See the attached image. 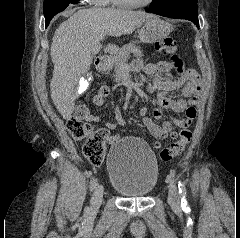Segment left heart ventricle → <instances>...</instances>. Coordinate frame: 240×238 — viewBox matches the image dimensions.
Here are the masks:
<instances>
[{"label":"left heart ventricle","instance_id":"left-heart-ventricle-1","mask_svg":"<svg viewBox=\"0 0 240 238\" xmlns=\"http://www.w3.org/2000/svg\"><path fill=\"white\" fill-rule=\"evenodd\" d=\"M126 1L134 2V3H142V2H145L147 0H126Z\"/></svg>","mask_w":240,"mask_h":238}]
</instances>
